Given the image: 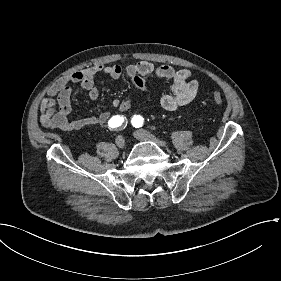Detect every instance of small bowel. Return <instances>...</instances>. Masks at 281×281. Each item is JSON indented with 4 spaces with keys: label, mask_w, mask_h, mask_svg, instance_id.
<instances>
[{
    "label": "small bowel",
    "mask_w": 281,
    "mask_h": 281,
    "mask_svg": "<svg viewBox=\"0 0 281 281\" xmlns=\"http://www.w3.org/2000/svg\"><path fill=\"white\" fill-rule=\"evenodd\" d=\"M124 74L140 90L146 89V77L156 76L172 80V92L163 95L160 99L161 106L169 112H178L190 104L195 99L198 90V81L191 78V73L187 69L176 70L168 65L155 66L149 61L129 64L125 68L119 65L99 64L61 78L49 90L48 97L42 99L40 103L41 124L49 129L63 131H78L92 125L106 124L112 117L109 111H103L97 116L69 119L68 116L72 110L73 87L78 85L86 90L90 100L94 101L99 97V90L95 86L97 76L107 75L113 79H119ZM112 106L120 112H126L130 109L131 102L128 99H114Z\"/></svg>",
    "instance_id": "c3829d8e"
}]
</instances>
